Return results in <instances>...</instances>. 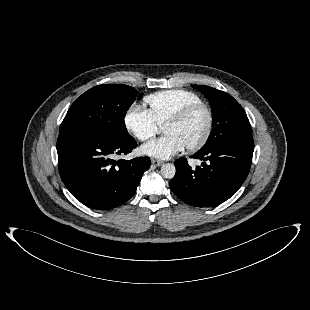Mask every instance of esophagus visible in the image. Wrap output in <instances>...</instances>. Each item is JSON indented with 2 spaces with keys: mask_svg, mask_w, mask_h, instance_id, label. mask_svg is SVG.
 <instances>
[{
  "mask_svg": "<svg viewBox=\"0 0 310 310\" xmlns=\"http://www.w3.org/2000/svg\"><path fill=\"white\" fill-rule=\"evenodd\" d=\"M151 162H152V164L155 165V166H161V165L163 164L162 161L157 160V159H151Z\"/></svg>",
  "mask_w": 310,
  "mask_h": 310,
  "instance_id": "esophagus-1",
  "label": "esophagus"
}]
</instances>
